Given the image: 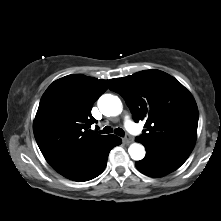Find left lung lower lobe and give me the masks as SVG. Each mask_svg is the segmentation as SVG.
I'll use <instances>...</instances> for the list:
<instances>
[{
  "instance_id": "left-lung-lower-lobe-1",
  "label": "left lung lower lobe",
  "mask_w": 221,
  "mask_h": 221,
  "mask_svg": "<svg viewBox=\"0 0 221 221\" xmlns=\"http://www.w3.org/2000/svg\"><path fill=\"white\" fill-rule=\"evenodd\" d=\"M143 145L146 149V156L135 163L137 169L150 177H162L178 169L187 160L195 143Z\"/></svg>"
}]
</instances>
